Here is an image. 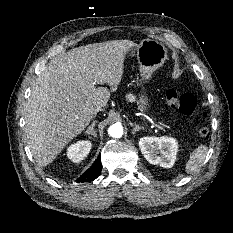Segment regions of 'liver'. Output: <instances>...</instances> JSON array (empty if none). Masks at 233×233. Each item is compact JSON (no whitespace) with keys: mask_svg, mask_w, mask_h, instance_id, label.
I'll return each mask as SVG.
<instances>
[{"mask_svg":"<svg viewBox=\"0 0 233 233\" xmlns=\"http://www.w3.org/2000/svg\"><path fill=\"white\" fill-rule=\"evenodd\" d=\"M137 44L111 40L69 50L36 79L26 105L25 133L40 166L51 163L91 122L94 108L105 107L121 82L124 60Z\"/></svg>","mask_w":233,"mask_h":233,"instance_id":"liver-1","label":"liver"}]
</instances>
